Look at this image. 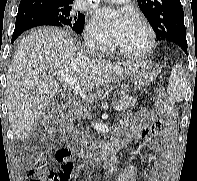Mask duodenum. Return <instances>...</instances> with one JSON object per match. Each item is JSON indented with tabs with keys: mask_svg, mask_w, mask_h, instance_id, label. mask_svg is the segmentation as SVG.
<instances>
[{
	"mask_svg": "<svg viewBox=\"0 0 197 181\" xmlns=\"http://www.w3.org/2000/svg\"><path fill=\"white\" fill-rule=\"evenodd\" d=\"M66 119L68 120V128H71V120H72V113L67 110L65 113ZM128 138L122 134L120 131L112 140L110 145H101L98 147H74V151L79 156H85L89 154L93 157H97L99 159H108L113 156V154H117L123 146L128 142Z\"/></svg>",
	"mask_w": 197,
	"mask_h": 181,
	"instance_id": "410a0bca",
	"label": "duodenum"
}]
</instances>
